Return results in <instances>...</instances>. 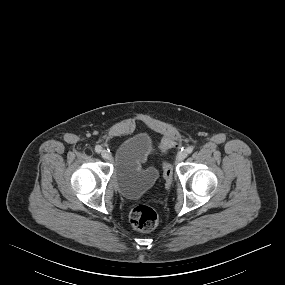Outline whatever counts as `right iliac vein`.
Here are the masks:
<instances>
[{
  "mask_svg": "<svg viewBox=\"0 0 285 285\" xmlns=\"http://www.w3.org/2000/svg\"><path fill=\"white\" fill-rule=\"evenodd\" d=\"M101 156H102V158H104V159H110V157H111L110 153H109L107 150H105V149L102 150Z\"/></svg>",
  "mask_w": 285,
  "mask_h": 285,
  "instance_id": "63e3f726",
  "label": "right iliac vein"
}]
</instances>
